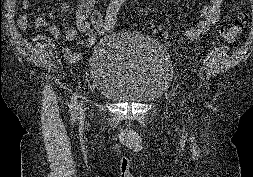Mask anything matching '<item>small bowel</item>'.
I'll return each instance as SVG.
<instances>
[{"mask_svg": "<svg viewBox=\"0 0 253 177\" xmlns=\"http://www.w3.org/2000/svg\"><path fill=\"white\" fill-rule=\"evenodd\" d=\"M78 9L76 12V26L68 27L64 30L63 35L66 40L75 42L79 48L92 47L96 44L99 37L103 35V12L96 8L100 0H77ZM223 0H209V3L200 13L199 22L190 27L183 29L185 37L190 41H196L205 35L209 29L217 24L220 20L221 5ZM31 6L30 0H22V8L28 9ZM56 14L48 13L46 18H56ZM41 24L45 26L51 34L60 37L61 31L52 25H48L43 19ZM18 25L22 29L27 28V17L21 14L18 17ZM80 34L85 35L81 39ZM64 57L70 62H77L81 59V51H72L64 47L62 49Z\"/></svg>", "mask_w": 253, "mask_h": 177, "instance_id": "obj_1", "label": "small bowel"}]
</instances>
